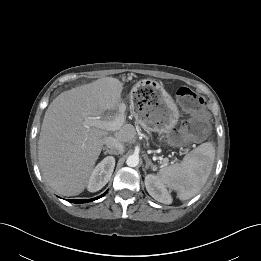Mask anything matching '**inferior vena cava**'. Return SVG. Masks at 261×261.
Wrapping results in <instances>:
<instances>
[{
	"label": "inferior vena cava",
	"instance_id": "1",
	"mask_svg": "<svg viewBox=\"0 0 261 261\" xmlns=\"http://www.w3.org/2000/svg\"><path fill=\"white\" fill-rule=\"evenodd\" d=\"M104 144L108 150H110L113 154H122L124 152V146L121 142H119L114 137H105Z\"/></svg>",
	"mask_w": 261,
	"mask_h": 261
}]
</instances>
